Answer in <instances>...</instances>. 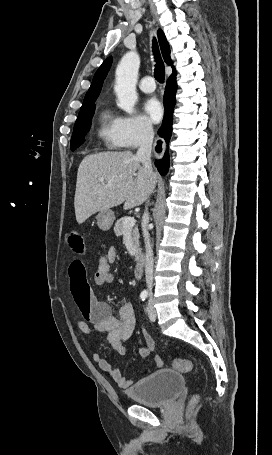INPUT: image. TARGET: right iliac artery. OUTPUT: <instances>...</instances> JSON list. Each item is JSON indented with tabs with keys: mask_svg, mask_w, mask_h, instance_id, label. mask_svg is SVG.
<instances>
[{
	"mask_svg": "<svg viewBox=\"0 0 272 455\" xmlns=\"http://www.w3.org/2000/svg\"><path fill=\"white\" fill-rule=\"evenodd\" d=\"M140 298H141L142 301H145L146 298H147V292H142V293L140 294Z\"/></svg>",
	"mask_w": 272,
	"mask_h": 455,
	"instance_id": "1",
	"label": "right iliac artery"
}]
</instances>
